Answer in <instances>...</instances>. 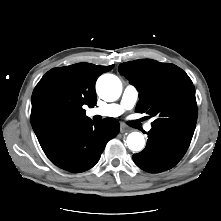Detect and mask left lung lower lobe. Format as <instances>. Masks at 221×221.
Wrapping results in <instances>:
<instances>
[{
    "mask_svg": "<svg viewBox=\"0 0 221 221\" xmlns=\"http://www.w3.org/2000/svg\"><path fill=\"white\" fill-rule=\"evenodd\" d=\"M146 147L133 155L135 164L150 173H160L175 166L186 153L190 141L167 131L152 128Z\"/></svg>",
    "mask_w": 221,
    "mask_h": 221,
    "instance_id": "0a47b994",
    "label": "left lung lower lobe"
}]
</instances>
